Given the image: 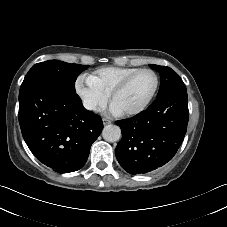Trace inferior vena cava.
Returning a JSON list of instances; mask_svg holds the SVG:
<instances>
[{
	"label": "inferior vena cava",
	"mask_w": 227,
	"mask_h": 227,
	"mask_svg": "<svg viewBox=\"0 0 227 227\" xmlns=\"http://www.w3.org/2000/svg\"><path fill=\"white\" fill-rule=\"evenodd\" d=\"M84 107L87 110H94L96 108L95 104L91 103V102H84Z\"/></svg>",
	"instance_id": "inferior-vena-cava-1"
}]
</instances>
